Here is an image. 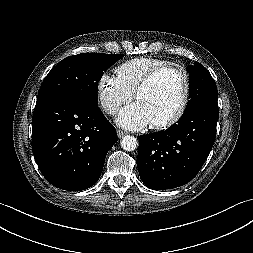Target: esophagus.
Instances as JSON below:
<instances>
[{"mask_svg": "<svg viewBox=\"0 0 253 253\" xmlns=\"http://www.w3.org/2000/svg\"><path fill=\"white\" fill-rule=\"evenodd\" d=\"M117 135H118L119 138H121V137H123L125 135V132H123L120 129H117Z\"/></svg>", "mask_w": 253, "mask_h": 253, "instance_id": "esophagus-1", "label": "esophagus"}]
</instances>
